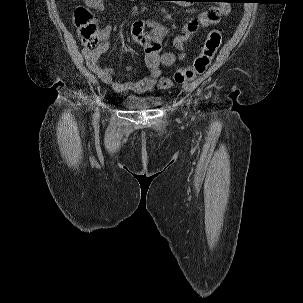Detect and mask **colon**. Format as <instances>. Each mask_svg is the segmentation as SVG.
Here are the masks:
<instances>
[{
  "label": "colon",
  "mask_w": 303,
  "mask_h": 303,
  "mask_svg": "<svg viewBox=\"0 0 303 303\" xmlns=\"http://www.w3.org/2000/svg\"><path fill=\"white\" fill-rule=\"evenodd\" d=\"M74 22L78 28L81 43L88 49L93 48L98 43L100 37L97 20L94 15L84 6H79L74 13ZM221 40V32L218 29L211 30L193 63L188 67L176 71L174 74L175 82L182 84L202 75L210 65L221 44Z\"/></svg>",
  "instance_id": "colon-1"
}]
</instances>
